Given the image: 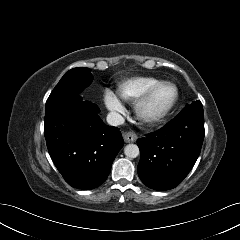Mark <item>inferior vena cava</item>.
I'll list each match as a JSON object with an SVG mask.
<instances>
[{
  "label": "inferior vena cava",
  "instance_id": "1",
  "mask_svg": "<svg viewBox=\"0 0 240 240\" xmlns=\"http://www.w3.org/2000/svg\"><path fill=\"white\" fill-rule=\"evenodd\" d=\"M124 121V118L117 112H110L107 115V122L112 126L122 125Z\"/></svg>",
  "mask_w": 240,
  "mask_h": 240
}]
</instances>
